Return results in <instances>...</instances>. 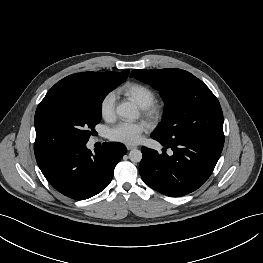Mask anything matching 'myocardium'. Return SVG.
I'll use <instances>...</instances> for the list:
<instances>
[{"label":"myocardium","instance_id":"obj_1","mask_svg":"<svg viewBox=\"0 0 263 263\" xmlns=\"http://www.w3.org/2000/svg\"><path fill=\"white\" fill-rule=\"evenodd\" d=\"M144 117L150 121H158L164 113V105L160 102L154 101L146 107L141 108Z\"/></svg>","mask_w":263,"mask_h":263}]
</instances>
